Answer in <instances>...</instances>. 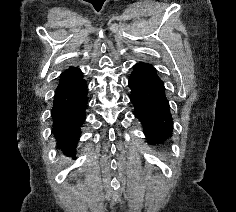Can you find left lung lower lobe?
I'll list each match as a JSON object with an SVG mask.
<instances>
[{"label":"left lung lower lobe","instance_id":"1","mask_svg":"<svg viewBox=\"0 0 236 212\" xmlns=\"http://www.w3.org/2000/svg\"><path fill=\"white\" fill-rule=\"evenodd\" d=\"M134 114L142 123L150 144L163 143L172 136L173 120L164 82L156 68L146 62L133 66L129 78Z\"/></svg>","mask_w":236,"mask_h":212}]
</instances>
